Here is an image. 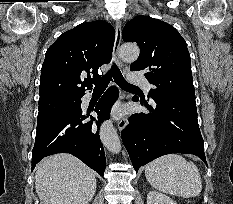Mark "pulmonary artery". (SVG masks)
Segmentation results:
<instances>
[{"mask_svg": "<svg viewBox=\"0 0 233 204\" xmlns=\"http://www.w3.org/2000/svg\"><path fill=\"white\" fill-rule=\"evenodd\" d=\"M129 80L133 84H137V85L142 86L146 91H149L151 88L150 83L143 76H140L137 74H131V75H129Z\"/></svg>", "mask_w": 233, "mask_h": 204, "instance_id": "obj_1", "label": "pulmonary artery"}]
</instances>
